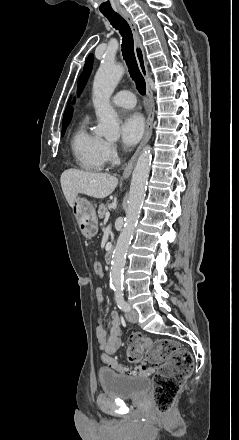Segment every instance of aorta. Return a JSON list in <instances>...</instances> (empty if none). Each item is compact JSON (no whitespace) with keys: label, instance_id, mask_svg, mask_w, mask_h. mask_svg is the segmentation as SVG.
I'll return each instance as SVG.
<instances>
[{"label":"aorta","instance_id":"obj_1","mask_svg":"<svg viewBox=\"0 0 239 440\" xmlns=\"http://www.w3.org/2000/svg\"><path fill=\"white\" fill-rule=\"evenodd\" d=\"M124 68L116 66L115 62L103 60L98 68L93 82V106L95 114L99 118L96 126V134L103 136L105 140H119V118L117 112L109 104L117 84H119ZM150 148H144L133 170L130 184L128 208L126 210V222L117 240L113 252L110 272V284L115 290H122V276L126 262L127 250L130 246L135 226L138 222L142 208L147 178L150 170Z\"/></svg>","mask_w":239,"mask_h":440}]
</instances>
